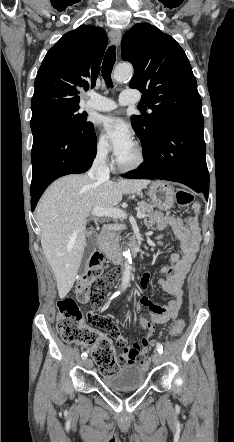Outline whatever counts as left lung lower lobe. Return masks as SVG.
Returning a JSON list of instances; mask_svg holds the SVG:
<instances>
[{"label": "left lung lower lobe", "mask_w": 234, "mask_h": 442, "mask_svg": "<svg viewBox=\"0 0 234 442\" xmlns=\"http://www.w3.org/2000/svg\"><path fill=\"white\" fill-rule=\"evenodd\" d=\"M203 128L202 113L172 120L158 131L149 151L143 153L145 161L123 177L180 182L202 192L208 200L209 173Z\"/></svg>", "instance_id": "obj_1"}]
</instances>
